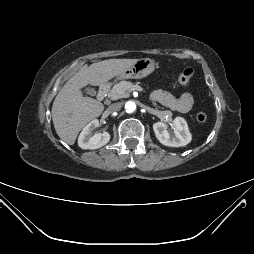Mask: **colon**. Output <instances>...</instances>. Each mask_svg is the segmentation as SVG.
<instances>
[{
  "label": "colon",
  "instance_id": "colon-1",
  "mask_svg": "<svg viewBox=\"0 0 254 254\" xmlns=\"http://www.w3.org/2000/svg\"><path fill=\"white\" fill-rule=\"evenodd\" d=\"M194 69L191 67H185L177 77L179 84L185 85L190 82L194 76ZM196 119L198 122H205L207 120V115L204 112H198L196 114Z\"/></svg>",
  "mask_w": 254,
  "mask_h": 254
}]
</instances>
